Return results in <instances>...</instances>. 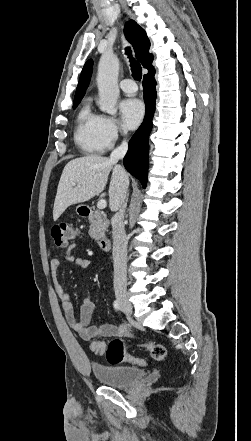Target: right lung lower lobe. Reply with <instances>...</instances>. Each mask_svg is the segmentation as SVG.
I'll return each mask as SVG.
<instances>
[{
	"mask_svg": "<svg viewBox=\"0 0 251 441\" xmlns=\"http://www.w3.org/2000/svg\"><path fill=\"white\" fill-rule=\"evenodd\" d=\"M155 70L143 78V91L146 112L144 121L129 141V149L124 157L126 170L146 187L148 170L149 135L152 130V118L155 112L156 81Z\"/></svg>",
	"mask_w": 251,
	"mask_h": 441,
	"instance_id": "98d812e1",
	"label": "right lung lower lobe"
}]
</instances>
